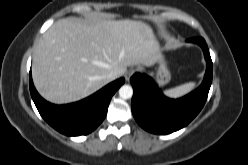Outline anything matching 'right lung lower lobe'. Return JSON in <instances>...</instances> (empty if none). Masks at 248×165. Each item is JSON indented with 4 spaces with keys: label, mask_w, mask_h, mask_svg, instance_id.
I'll use <instances>...</instances> for the list:
<instances>
[{
    "label": "right lung lower lobe",
    "mask_w": 248,
    "mask_h": 165,
    "mask_svg": "<svg viewBox=\"0 0 248 165\" xmlns=\"http://www.w3.org/2000/svg\"><path fill=\"white\" fill-rule=\"evenodd\" d=\"M124 82L125 79L120 78L79 102L54 105L38 94L31 73L29 79L30 93L40 115L54 129L68 136L86 135L94 131L104 120L113 94Z\"/></svg>",
    "instance_id": "98d812e1"
}]
</instances>
